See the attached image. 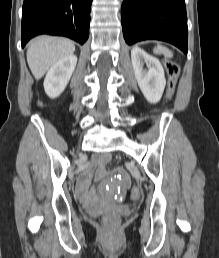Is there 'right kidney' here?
I'll return each mask as SVG.
<instances>
[{
    "mask_svg": "<svg viewBox=\"0 0 219 258\" xmlns=\"http://www.w3.org/2000/svg\"><path fill=\"white\" fill-rule=\"evenodd\" d=\"M77 64V57L69 55L55 63L46 74L44 90L50 98L58 97L66 88Z\"/></svg>",
    "mask_w": 219,
    "mask_h": 258,
    "instance_id": "ca27d5eb",
    "label": "right kidney"
}]
</instances>
